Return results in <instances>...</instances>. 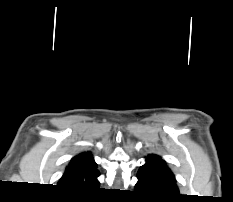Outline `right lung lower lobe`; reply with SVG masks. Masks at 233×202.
Wrapping results in <instances>:
<instances>
[{"label": "right lung lower lobe", "instance_id": "1", "mask_svg": "<svg viewBox=\"0 0 233 202\" xmlns=\"http://www.w3.org/2000/svg\"><path fill=\"white\" fill-rule=\"evenodd\" d=\"M97 190H98V187L90 192L81 193V194L86 195V196H91V195L95 194L97 192Z\"/></svg>", "mask_w": 233, "mask_h": 202}]
</instances>
